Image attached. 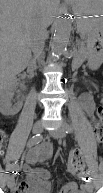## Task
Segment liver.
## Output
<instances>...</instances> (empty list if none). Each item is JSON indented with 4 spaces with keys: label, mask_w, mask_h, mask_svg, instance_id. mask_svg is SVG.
Here are the masks:
<instances>
[{
    "label": "liver",
    "mask_w": 103,
    "mask_h": 193,
    "mask_svg": "<svg viewBox=\"0 0 103 193\" xmlns=\"http://www.w3.org/2000/svg\"><path fill=\"white\" fill-rule=\"evenodd\" d=\"M70 2V0H67ZM59 0H1V76L13 78L30 60V27L48 25Z\"/></svg>",
    "instance_id": "liver-1"
}]
</instances>
